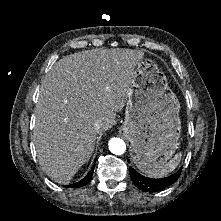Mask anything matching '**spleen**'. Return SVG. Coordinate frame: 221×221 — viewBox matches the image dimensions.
Listing matches in <instances>:
<instances>
[{
  "instance_id": "3e777b00",
  "label": "spleen",
  "mask_w": 221,
  "mask_h": 221,
  "mask_svg": "<svg viewBox=\"0 0 221 221\" xmlns=\"http://www.w3.org/2000/svg\"><path fill=\"white\" fill-rule=\"evenodd\" d=\"M182 153H177L169 162L165 163L162 166H159L158 168L154 170H149L146 173L150 177H163L166 176L168 173L172 172L176 169V167L179 165L181 161Z\"/></svg>"
}]
</instances>
